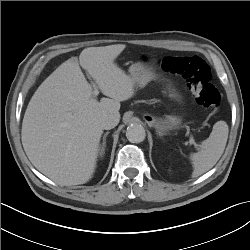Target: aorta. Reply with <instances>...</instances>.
Masks as SVG:
<instances>
[{"instance_id":"aorta-1","label":"aorta","mask_w":250,"mask_h":250,"mask_svg":"<svg viewBox=\"0 0 250 250\" xmlns=\"http://www.w3.org/2000/svg\"><path fill=\"white\" fill-rule=\"evenodd\" d=\"M126 136L130 142L140 143L144 141L146 132L141 124H131L127 127Z\"/></svg>"}]
</instances>
